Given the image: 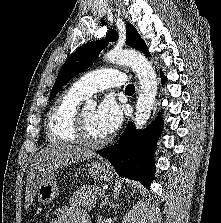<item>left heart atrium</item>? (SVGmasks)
Listing matches in <instances>:
<instances>
[{"instance_id": "1", "label": "left heart atrium", "mask_w": 221, "mask_h": 223, "mask_svg": "<svg viewBox=\"0 0 221 223\" xmlns=\"http://www.w3.org/2000/svg\"><path fill=\"white\" fill-rule=\"evenodd\" d=\"M96 119L99 129L109 135L120 127L123 109L112 96H107L96 110Z\"/></svg>"}]
</instances>
